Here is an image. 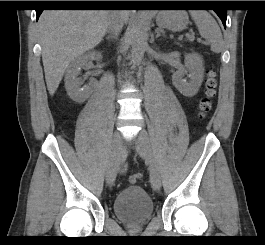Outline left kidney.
Segmentation results:
<instances>
[{"mask_svg":"<svg viewBox=\"0 0 265 245\" xmlns=\"http://www.w3.org/2000/svg\"><path fill=\"white\" fill-rule=\"evenodd\" d=\"M185 65L172 76V82L177 90L186 97H193L199 91L204 77L203 60L198 54H186ZM188 74L189 80L184 79Z\"/></svg>","mask_w":265,"mask_h":245,"instance_id":"1","label":"left kidney"}]
</instances>
